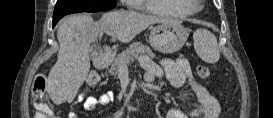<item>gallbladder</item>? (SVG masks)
Masks as SVG:
<instances>
[{"mask_svg": "<svg viewBox=\"0 0 273 118\" xmlns=\"http://www.w3.org/2000/svg\"><path fill=\"white\" fill-rule=\"evenodd\" d=\"M93 52H94L93 50H90V54H91V55H93Z\"/></svg>", "mask_w": 273, "mask_h": 118, "instance_id": "gallbladder-1", "label": "gallbladder"}]
</instances>
